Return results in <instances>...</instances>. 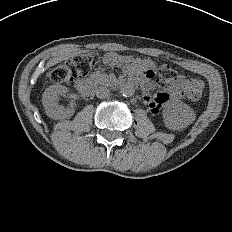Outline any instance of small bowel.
Instances as JSON below:
<instances>
[{
	"instance_id": "c3829d8e",
	"label": "small bowel",
	"mask_w": 232,
	"mask_h": 232,
	"mask_svg": "<svg viewBox=\"0 0 232 232\" xmlns=\"http://www.w3.org/2000/svg\"><path fill=\"white\" fill-rule=\"evenodd\" d=\"M104 62L107 66H122L126 68H136L142 72L143 77V91L144 100L152 112L157 113L162 105L168 100H176L183 96L186 91V86L189 81L185 76H179L177 80L170 85L167 90H160L154 96L151 95L152 83L150 78L153 75L154 67L152 63L142 57L127 54H109L105 57Z\"/></svg>"
}]
</instances>
